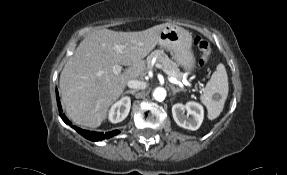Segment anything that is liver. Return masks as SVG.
<instances>
[{"mask_svg":"<svg viewBox=\"0 0 287 175\" xmlns=\"http://www.w3.org/2000/svg\"><path fill=\"white\" fill-rule=\"evenodd\" d=\"M168 25L136 32L99 29L88 33L60 75L61 98L69 118L78 125L100 126L128 81L143 77L147 68L144 58L159 43L160 32ZM117 44L125 46L122 52L115 49ZM114 65L129 68L115 74Z\"/></svg>","mask_w":287,"mask_h":175,"instance_id":"liver-1","label":"liver"}]
</instances>
